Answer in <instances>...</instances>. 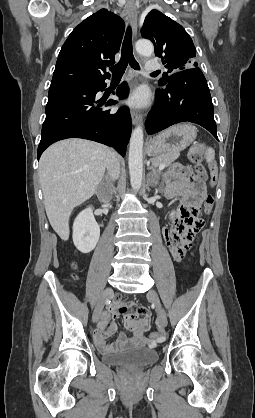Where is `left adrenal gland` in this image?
<instances>
[{"instance_id":"1","label":"left adrenal gland","mask_w":255,"mask_h":418,"mask_svg":"<svg viewBox=\"0 0 255 418\" xmlns=\"http://www.w3.org/2000/svg\"><path fill=\"white\" fill-rule=\"evenodd\" d=\"M148 170H151L152 171V173H154V174H156L157 176H159L161 173L159 172V171H157L155 168H153L152 166H148ZM148 182H149V184L152 186V187H155L156 186V184H152L151 183V180L150 179H148Z\"/></svg>"}]
</instances>
